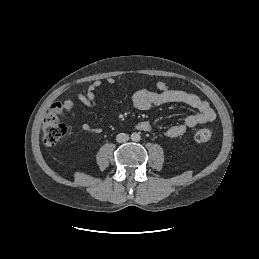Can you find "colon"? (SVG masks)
Returning a JSON list of instances; mask_svg holds the SVG:
<instances>
[{"mask_svg":"<svg viewBox=\"0 0 259 259\" xmlns=\"http://www.w3.org/2000/svg\"><path fill=\"white\" fill-rule=\"evenodd\" d=\"M64 105L60 102L52 104L43 120V141L48 146L57 144L67 133L68 127L63 121ZM212 137L209 128H201L195 133L199 143L207 142Z\"/></svg>","mask_w":259,"mask_h":259,"instance_id":"colon-1","label":"colon"}]
</instances>
